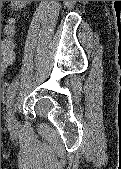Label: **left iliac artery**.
I'll use <instances>...</instances> for the list:
<instances>
[{"instance_id": "left-iliac-artery-1", "label": "left iliac artery", "mask_w": 121, "mask_h": 169, "mask_svg": "<svg viewBox=\"0 0 121 169\" xmlns=\"http://www.w3.org/2000/svg\"><path fill=\"white\" fill-rule=\"evenodd\" d=\"M18 88H19V81L15 80L9 85V87L7 89V103H8L7 106L9 108L13 102V99L16 95Z\"/></svg>"}]
</instances>
